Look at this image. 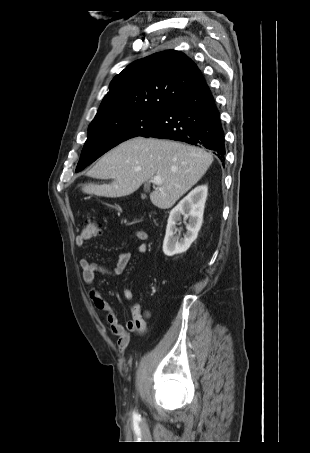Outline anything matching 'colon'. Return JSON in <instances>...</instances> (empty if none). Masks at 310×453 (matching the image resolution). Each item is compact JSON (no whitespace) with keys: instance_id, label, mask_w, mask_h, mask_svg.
Masks as SVG:
<instances>
[{"instance_id":"5ec220e1","label":"colon","mask_w":310,"mask_h":453,"mask_svg":"<svg viewBox=\"0 0 310 453\" xmlns=\"http://www.w3.org/2000/svg\"><path fill=\"white\" fill-rule=\"evenodd\" d=\"M101 231V226L98 221L90 220L83 228L82 234L85 238H91Z\"/></svg>"}]
</instances>
